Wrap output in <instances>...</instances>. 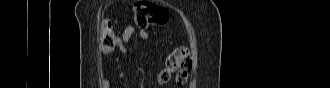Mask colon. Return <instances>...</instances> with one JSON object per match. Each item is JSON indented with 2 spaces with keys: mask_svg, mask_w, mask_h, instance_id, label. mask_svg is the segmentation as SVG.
<instances>
[{
  "mask_svg": "<svg viewBox=\"0 0 330 88\" xmlns=\"http://www.w3.org/2000/svg\"><path fill=\"white\" fill-rule=\"evenodd\" d=\"M166 20V10L161 6L148 1H139L134 5V22L138 27L150 28L164 24ZM117 41V35L111 25L103 24L100 37L101 50L107 54L113 52ZM192 66L193 60L189 49L186 46H178L167 56L159 73V82L166 84L173 75H176L179 83H185Z\"/></svg>",
  "mask_w": 330,
  "mask_h": 88,
  "instance_id": "colon-1",
  "label": "colon"
}]
</instances>
